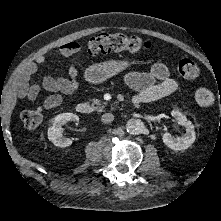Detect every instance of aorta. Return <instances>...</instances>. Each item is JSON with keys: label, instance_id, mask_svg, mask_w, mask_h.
<instances>
[{"label": "aorta", "instance_id": "obj_1", "mask_svg": "<svg viewBox=\"0 0 221 221\" xmlns=\"http://www.w3.org/2000/svg\"><path fill=\"white\" fill-rule=\"evenodd\" d=\"M125 127L128 133L138 135L143 132L144 123L139 119H129Z\"/></svg>", "mask_w": 221, "mask_h": 221}]
</instances>
